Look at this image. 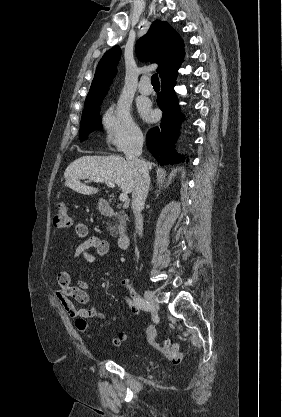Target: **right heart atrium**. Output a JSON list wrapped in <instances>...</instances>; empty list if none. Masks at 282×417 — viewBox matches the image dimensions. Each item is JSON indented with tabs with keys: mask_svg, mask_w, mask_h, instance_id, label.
<instances>
[{
	"mask_svg": "<svg viewBox=\"0 0 282 417\" xmlns=\"http://www.w3.org/2000/svg\"><path fill=\"white\" fill-rule=\"evenodd\" d=\"M103 125L108 142L121 151H130L140 142V131L130 116L128 108L122 103H117L107 111Z\"/></svg>",
	"mask_w": 282,
	"mask_h": 417,
	"instance_id": "1",
	"label": "right heart atrium"
}]
</instances>
